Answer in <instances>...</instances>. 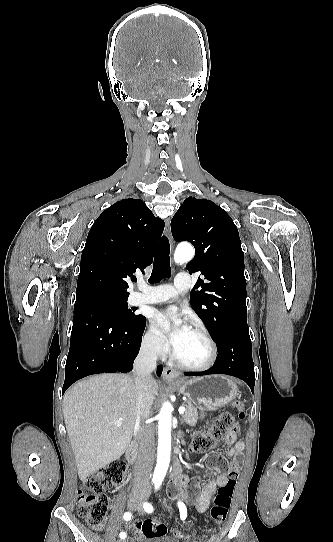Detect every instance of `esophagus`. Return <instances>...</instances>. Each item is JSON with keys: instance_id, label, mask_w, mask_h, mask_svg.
Masks as SVG:
<instances>
[{"instance_id": "1", "label": "esophagus", "mask_w": 333, "mask_h": 542, "mask_svg": "<svg viewBox=\"0 0 333 542\" xmlns=\"http://www.w3.org/2000/svg\"><path fill=\"white\" fill-rule=\"evenodd\" d=\"M165 230H166L167 236L170 239L171 248L173 250V240H172L171 235H170V220L169 219H166ZM180 375H181V373L179 372V370H176V369H174L172 367H165V369L163 370V373H162L163 379L168 381V382H172V381L178 379L180 377Z\"/></svg>"}]
</instances>
